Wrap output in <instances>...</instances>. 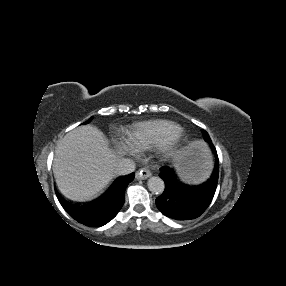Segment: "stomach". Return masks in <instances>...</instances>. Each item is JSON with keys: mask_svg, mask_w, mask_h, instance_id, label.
I'll return each mask as SVG.
<instances>
[{"mask_svg": "<svg viewBox=\"0 0 286 286\" xmlns=\"http://www.w3.org/2000/svg\"><path fill=\"white\" fill-rule=\"evenodd\" d=\"M211 156L207 147L200 141L188 146L176 160L181 179L188 183L204 181L211 169Z\"/></svg>", "mask_w": 286, "mask_h": 286, "instance_id": "obj_1", "label": "stomach"}]
</instances>
